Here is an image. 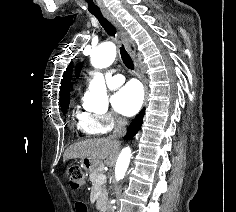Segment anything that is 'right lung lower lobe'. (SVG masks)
<instances>
[{"label": "right lung lower lobe", "mask_w": 236, "mask_h": 212, "mask_svg": "<svg viewBox=\"0 0 236 212\" xmlns=\"http://www.w3.org/2000/svg\"><path fill=\"white\" fill-rule=\"evenodd\" d=\"M143 116H144V110H142L137 117L133 120V122L130 124L129 128H128V133L125 136V139H131L136 132L140 129L141 124H142V120H143Z\"/></svg>", "instance_id": "right-lung-lower-lobe-1"}]
</instances>
